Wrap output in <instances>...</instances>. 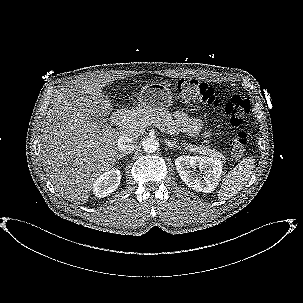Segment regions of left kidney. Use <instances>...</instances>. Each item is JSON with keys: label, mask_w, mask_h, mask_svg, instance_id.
Segmentation results:
<instances>
[{"label": "left kidney", "mask_w": 303, "mask_h": 303, "mask_svg": "<svg viewBox=\"0 0 303 303\" xmlns=\"http://www.w3.org/2000/svg\"><path fill=\"white\" fill-rule=\"evenodd\" d=\"M175 165L186 185L199 192L214 191L222 174V162L211 157L183 155L176 158ZM197 168L203 173L198 174Z\"/></svg>", "instance_id": "1"}]
</instances>
